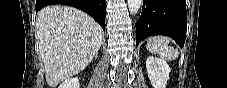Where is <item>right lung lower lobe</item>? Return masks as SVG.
<instances>
[{
  "label": "right lung lower lobe",
  "instance_id": "1",
  "mask_svg": "<svg viewBox=\"0 0 227 88\" xmlns=\"http://www.w3.org/2000/svg\"><path fill=\"white\" fill-rule=\"evenodd\" d=\"M52 4H65L78 8L89 14L105 30V0H36V12Z\"/></svg>",
  "mask_w": 227,
  "mask_h": 88
}]
</instances>
